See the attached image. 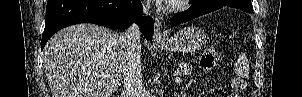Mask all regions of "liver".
Returning a JSON list of instances; mask_svg holds the SVG:
<instances>
[{
    "mask_svg": "<svg viewBox=\"0 0 302 97\" xmlns=\"http://www.w3.org/2000/svg\"><path fill=\"white\" fill-rule=\"evenodd\" d=\"M125 63L121 34L93 24L60 30L43 50L52 97H111Z\"/></svg>",
    "mask_w": 302,
    "mask_h": 97,
    "instance_id": "obj_1",
    "label": "liver"
}]
</instances>
